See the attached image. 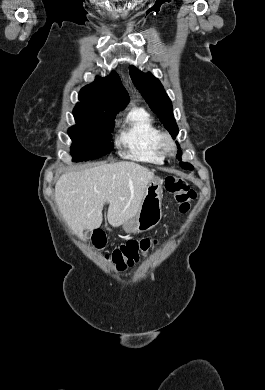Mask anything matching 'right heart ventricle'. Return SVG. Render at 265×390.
Returning a JSON list of instances; mask_svg holds the SVG:
<instances>
[{"mask_svg":"<svg viewBox=\"0 0 265 390\" xmlns=\"http://www.w3.org/2000/svg\"><path fill=\"white\" fill-rule=\"evenodd\" d=\"M160 134L151 114L143 107H134L124 119L117 145L121 155L126 158L160 164L163 162L158 145Z\"/></svg>","mask_w":265,"mask_h":390,"instance_id":"obj_1","label":"right heart ventricle"}]
</instances>
